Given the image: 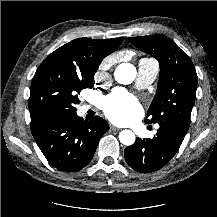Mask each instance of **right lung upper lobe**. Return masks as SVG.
<instances>
[{"mask_svg":"<svg viewBox=\"0 0 217 217\" xmlns=\"http://www.w3.org/2000/svg\"><path fill=\"white\" fill-rule=\"evenodd\" d=\"M122 41L123 38H78L52 52L43 62L58 63L79 73H95L102 59L115 51Z\"/></svg>","mask_w":217,"mask_h":217,"instance_id":"1","label":"right lung upper lobe"}]
</instances>
